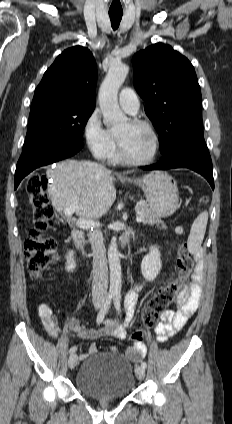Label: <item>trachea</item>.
<instances>
[{
  "mask_svg": "<svg viewBox=\"0 0 232 424\" xmlns=\"http://www.w3.org/2000/svg\"><path fill=\"white\" fill-rule=\"evenodd\" d=\"M123 12H109L112 28L116 30L119 27Z\"/></svg>",
  "mask_w": 232,
  "mask_h": 424,
  "instance_id": "3493384b",
  "label": "trachea"
}]
</instances>
